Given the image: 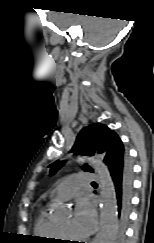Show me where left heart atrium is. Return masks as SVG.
Listing matches in <instances>:
<instances>
[{
  "mask_svg": "<svg viewBox=\"0 0 154 243\" xmlns=\"http://www.w3.org/2000/svg\"><path fill=\"white\" fill-rule=\"evenodd\" d=\"M96 225V213L88 201L77 204L72 218V228L80 235L86 236L92 233Z\"/></svg>",
  "mask_w": 154,
  "mask_h": 243,
  "instance_id": "obj_1",
  "label": "left heart atrium"
}]
</instances>
